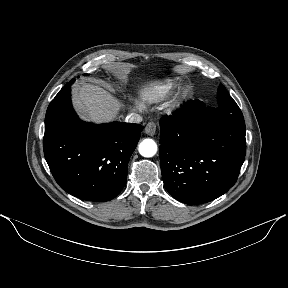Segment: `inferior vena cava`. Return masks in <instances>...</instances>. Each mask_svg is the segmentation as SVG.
I'll list each match as a JSON object with an SVG mask.
<instances>
[{
  "mask_svg": "<svg viewBox=\"0 0 288 288\" xmlns=\"http://www.w3.org/2000/svg\"><path fill=\"white\" fill-rule=\"evenodd\" d=\"M141 121H142V117L136 113L129 114L125 119V122H128V123H140Z\"/></svg>",
  "mask_w": 288,
  "mask_h": 288,
  "instance_id": "602c4592",
  "label": "inferior vena cava"
}]
</instances>
